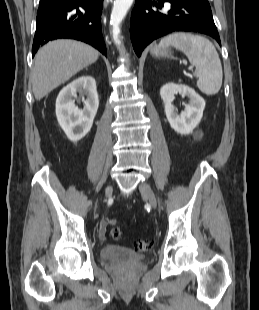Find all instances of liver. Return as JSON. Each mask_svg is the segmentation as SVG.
<instances>
[{
  "instance_id": "obj_1",
  "label": "liver",
  "mask_w": 259,
  "mask_h": 310,
  "mask_svg": "<svg viewBox=\"0 0 259 310\" xmlns=\"http://www.w3.org/2000/svg\"><path fill=\"white\" fill-rule=\"evenodd\" d=\"M98 57L95 48L80 41L59 39L47 43L34 60L32 89L36 100L94 63Z\"/></svg>"
}]
</instances>
